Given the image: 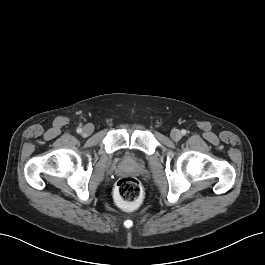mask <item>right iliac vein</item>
Wrapping results in <instances>:
<instances>
[{
  "instance_id": "obj_1",
  "label": "right iliac vein",
  "mask_w": 265,
  "mask_h": 265,
  "mask_svg": "<svg viewBox=\"0 0 265 265\" xmlns=\"http://www.w3.org/2000/svg\"><path fill=\"white\" fill-rule=\"evenodd\" d=\"M93 130H94V127L91 124H87L83 127L82 133L84 136H89L92 134Z\"/></svg>"
}]
</instances>
